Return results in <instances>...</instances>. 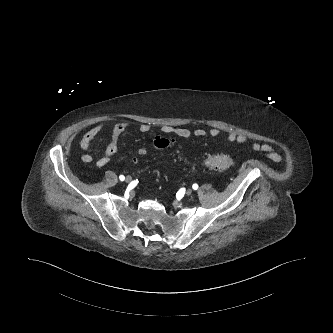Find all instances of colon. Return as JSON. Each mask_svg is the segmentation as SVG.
<instances>
[{"mask_svg": "<svg viewBox=\"0 0 333 333\" xmlns=\"http://www.w3.org/2000/svg\"><path fill=\"white\" fill-rule=\"evenodd\" d=\"M170 143L171 141L167 138L157 137L153 141V147L162 149L168 147ZM147 150V147H141L137 151V154L143 155L147 152ZM204 165L211 169L224 171L230 169L234 165V159L230 155L219 153L206 157L204 160Z\"/></svg>", "mask_w": 333, "mask_h": 333, "instance_id": "obj_1", "label": "colon"}]
</instances>
